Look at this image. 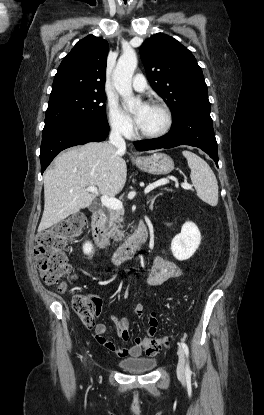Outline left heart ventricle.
<instances>
[{
  "mask_svg": "<svg viewBox=\"0 0 264 415\" xmlns=\"http://www.w3.org/2000/svg\"><path fill=\"white\" fill-rule=\"evenodd\" d=\"M140 109H138L136 113H138ZM164 122L165 117L162 110L154 106H149L142 115L138 128L141 132L153 133L160 130L163 127Z\"/></svg>",
  "mask_w": 264,
  "mask_h": 415,
  "instance_id": "left-heart-ventricle-1",
  "label": "left heart ventricle"
}]
</instances>
